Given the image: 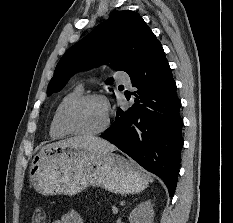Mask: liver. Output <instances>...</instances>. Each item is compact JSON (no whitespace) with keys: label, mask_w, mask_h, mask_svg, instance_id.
<instances>
[{"label":"liver","mask_w":233,"mask_h":223,"mask_svg":"<svg viewBox=\"0 0 233 223\" xmlns=\"http://www.w3.org/2000/svg\"><path fill=\"white\" fill-rule=\"evenodd\" d=\"M57 145L61 147H79V149H96V151H115L116 145L109 143L102 137H96V135H75V137H69V139H61L56 141Z\"/></svg>","instance_id":"obj_1"}]
</instances>
